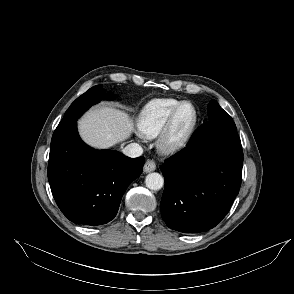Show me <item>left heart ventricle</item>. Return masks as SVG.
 I'll return each instance as SVG.
<instances>
[{
    "mask_svg": "<svg viewBox=\"0 0 294 294\" xmlns=\"http://www.w3.org/2000/svg\"><path fill=\"white\" fill-rule=\"evenodd\" d=\"M192 118V108L190 106H185L178 117L176 133H181L190 124Z\"/></svg>",
    "mask_w": 294,
    "mask_h": 294,
    "instance_id": "b2bd125f",
    "label": "left heart ventricle"
}]
</instances>
